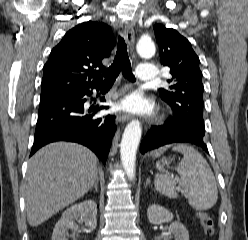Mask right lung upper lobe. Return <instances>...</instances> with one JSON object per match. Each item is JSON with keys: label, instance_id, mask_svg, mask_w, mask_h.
I'll return each instance as SVG.
<instances>
[{"label": "right lung upper lobe", "instance_id": "cb5924a9", "mask_svg": "<svg viewBox=\"0 0 248 240\" xmlns=\"http://www.w3.org/2000/svg\"><path fill=\"white\" fill-rule=\"evenodd\" d=\"M115 43L111 28L102 22H83L69 30L44 66L40 98L101 85L102 59L109 56Z\"/></svg>", "mask_w": 248, "mask_h": 240}]
</instances>
